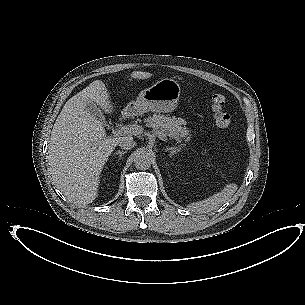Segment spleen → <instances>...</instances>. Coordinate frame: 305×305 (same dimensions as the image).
Segmentation results:
<instances>
[{
  "mask_svg": "<svg viewBox=\"0 0 305 305\" xmlns=\"http://www.w3.org/2000/svg\"><path fill=\"white\" fill-rule=\"evenodd\" d=\"M232 185H226L220 191L208 196L204 200L190 203L187 207L195 213H208L216 210L220 205L225 203L231 194Z\"/></svg>",
  "mask_w": 305,
  "mask_h": 305,
  "instance_id": "spleen-1",
  "label": "spleen"
}]
</instances>
